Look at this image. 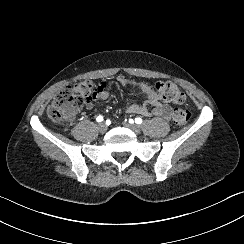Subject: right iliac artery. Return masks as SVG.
<instances>
[{
	"mask_svg": "<svg viewBox=\"0 0 244 244\" xmlns=\"http://www.w3.org/2000/svg\"><path fill=\"white\" fill-rule=\"evenodd\" d=\"M97 122H101L103 121V116L99 115L97 118H96Z\"/></svg>",
	"mask_w": 244,
	"mask_h": 244,
	"instance_id": "right-iliac-artery-1",
	"label": "right iliac artery"
}]
</instances>
